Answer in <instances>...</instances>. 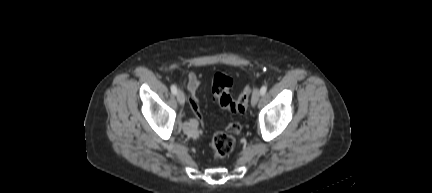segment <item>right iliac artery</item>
I'll list each match as a JSON object with an SVG mask.
<instances>
[{"instance_id":"1","label":"right iliac artery","mask_w":432,"mask_h":193,"mask_svg":"<svg viewBox=\"0 0 432 193\" xmlns=\"http://www.w3.org/2000/svg\"><path fill=\"white\" fill-rule=\"evenodd\" d=\"M171 92H172L173 94H177V88H176L175 85H171Z\"/></svg>"}]
</instances>
